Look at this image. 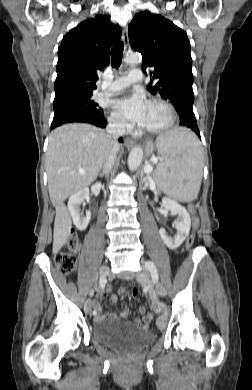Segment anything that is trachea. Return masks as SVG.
<instances>
[{"instance_id":"1","label":"trachea","mask_w":252,"mask_h":390,"mask_svg":"<svg viewBox=\"0 0 252 390\" xmlns=\"http://www.w3.org/2000/svg\"><path fill=\"white\" fill-rule=\"evenodd\" d=\"M123 49V42H119L111 50V62L112 66L115 68H118L121 64Z\"/></svg>"}]
</instances>
